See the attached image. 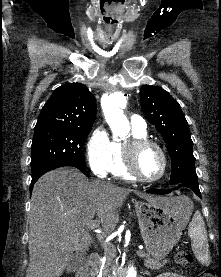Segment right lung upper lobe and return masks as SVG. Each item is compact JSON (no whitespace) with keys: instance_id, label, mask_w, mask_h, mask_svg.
<instances>
[{"instance_id":"right-lung-upper-lobe-1","label":"right lung upper lobe","mask_w":221,"mask_h":277,"mask_svg":"<svg viewBox=\"0 0 221 277\" xmlns=\"http://www.w3.org/2000/svg\"><path fill=\"white\" fill-rule=\"evenodd\" d=\"M96 111L95 97L85 85H62L43 106L35 128H90L94 123Z\"/></svg>"}]
</instances>
